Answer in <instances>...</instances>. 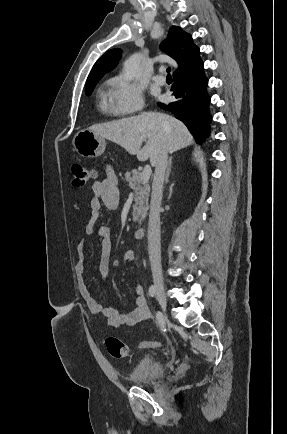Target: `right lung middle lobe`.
<instances>
[{
	"label": "right lung middle lobe",
	"mask_w": 287,
	"mask_h": 434,
	"mask_svg": "<svg viewBox=\"0 0 287 434\" xmlns=\"http://www.w3.org/2000/svg\"><path fill=\"white\" fill-rule=\"evenodd\" d=\"M97 82L98 81L86 84L85 93H86L87 96H89L91 94V92L94 89V87H95V85H96Z\"/></svg>",
	"instance_id": "dd1d6c3e"
}]
</instances>
